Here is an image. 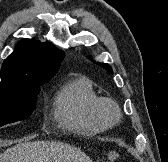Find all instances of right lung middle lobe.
I'll list each match as a JSON object with an SVG mask.
<instances>
[{
	"label": "right lung middle lobe",
	"mask_w": 168,
	"mask_h": 162,
	"mask_svg": "<svg viewBox=\"0 0 168 162\" xmlns=\"http://www.w3.org/2000/svg\"><path fill=\"white\" fill-rule=\"evenodd\" d=\"M45 81L23 82L13 89L0 91V127L28 118L33 112Z\"/></svg>",
	"instance_id": "1"
}]
</instances>
